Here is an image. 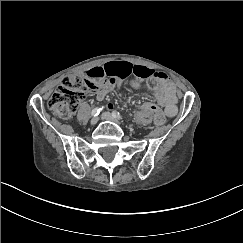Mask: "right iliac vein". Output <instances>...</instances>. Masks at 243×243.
Here are the masks:
<instances>
[{"label": "right iliac vein", "instance_id": "obj_1", "mask_svg": "<svg viewBox=\"0 0 243 243\" xmlns=\"http://www.w3.org/2000/svg\"><path fill=\"white\" fill-rule=\"evenodd\" d=\"M99 118L98 117H93L91 119V125H95L98 122Z\"/></svg>", "mask_w": 243, "mask_h": 243}]
</instances>
